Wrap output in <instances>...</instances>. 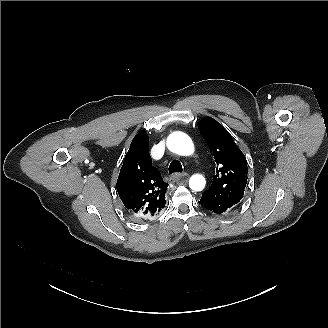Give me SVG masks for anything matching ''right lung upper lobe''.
I'll list each match as a JSON object with an SVG mask.
<instances>
[{"instance_id": "right-lung-upper-lobe-1", "label": "right lung upper lobe", "mask_w": 328, "mask_h": 328, "mask_svg": "<svg viewBox=\"0 0 328 328\" xmlns=\"http://www.w3.org/2000/svg\"><path fill=\"white\" fill-rule=\"evenodd\" d=\"M145 131L131 142L117 180V191L128 213L138 220L155 218L165 207L168 184L152 166Z\"/></svg>"}]
</instances>
